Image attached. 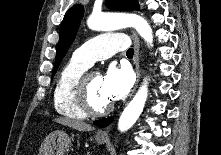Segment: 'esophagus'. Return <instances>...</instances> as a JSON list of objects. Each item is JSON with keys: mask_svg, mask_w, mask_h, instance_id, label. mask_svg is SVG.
Listing matches in <instances>:
<instances>
[{"mask_svg": "<svg viewBox=\"0 0 221 155\" xmlns=\"http://www.w3.org/2000/svg\"><path fill=\"white\" fill-rule=\"evenodd\" d=\"M132 39H133V44H134V64H135V71L137 75V80L134 86V89L132 91V94L135 92L139 80H140V61H139V50H140V43L137 35L135 32L132 31ZM97 135L102 138H107L109 136V128L100 130Z\"/></svg>", "mask_w": 221, "mask_h": 155, "instance_id": "esophagus-1", "label": "esophagus"}]
</instances>
